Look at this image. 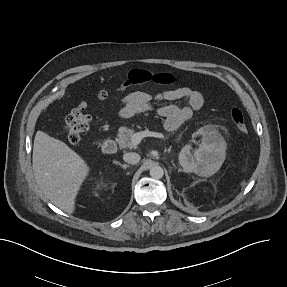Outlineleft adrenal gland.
I'll list each match as a JSON object with an SVG mask.
<instances>
[{
  "label": "left adrenal gland",
  "instance_id": "left-adrenal-gland-1",
  "mask_svg": "<svg viewBox=\"0 0 287 287\" xmlns=\"http://www.w3.org/2000/svg\"><path fill=\"white\" fill-rule=\"evenodd\" d=\"M171 148H172V147H169V149H168V153H170V151H171Z\"/></svg>",
  "mask_w": 287,
  "mask_h": 287
}]
</instances>
